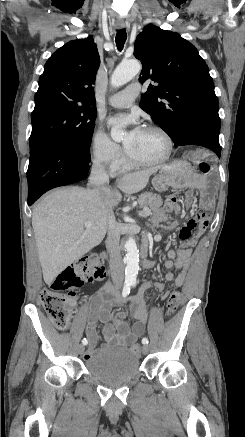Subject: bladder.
Instances as JSON below:
<instances>
[{
	"label": "bladder",
	"mask_w": 245,
	"mask_h": 437,
	"mask_svg": "<svg viewBox=\"0 0 245 437\" xmlns=\"http://www.w3.org/2000/svg\"><path fill=\"white\" fill-rule=\"evenodd\" d=\"M139 358L127 348L99 349L85 363L87 372L106 384H121L139 370Z\"/></svg>",
	"instance_id": "obj_1"
}]
</instances>
